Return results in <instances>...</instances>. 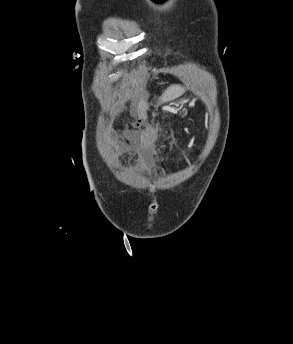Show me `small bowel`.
I'll return each instance as SVG.
<instances>
[{
  "mask_svg": "<svg viewBox=\"0 0 293 344\" xmlns=\"http://www.w3.org/2000/svg\"><path fill=\"white\" fill-rule=\"evenodd\" d=\"M158 133L153 128H145L139 135H130L127 144L131 149L151 152L156 144Z\"/></svg>",
  "mask_w": 293,
  "mask_h": 344,
  "instance_id": "small-bowel-1",
  "label": "small bowel"
}]
</instances>
